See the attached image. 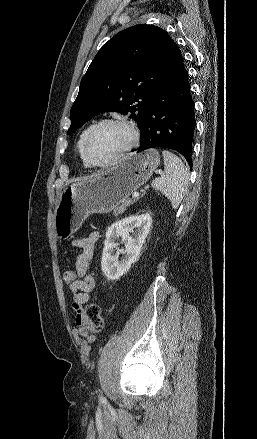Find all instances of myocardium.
I'll return each mask as SVG.
<instances>
[{
    "label": "myocardium",
    "instance_id": "obj_1",
    "mask_svg": "<svg viewBox=\"0 0 257 439\" xmlns=\"http://www.w3.org/2000/svg\"><path fill=\"white\" fill-rule=\"evenodd\" d=\"M106 125H120L126 128L130 135L129 143L120 153H118L111 160L106 162H96L89 155V144L95 133ZM138 142H139V131L132 122L126 119H115V118L104 119L93 125L92 128L88 131L83 142L82 152L89 166L98 169H104L111 167L112 165L116 164L118 161L123 159L130 151H132L135 148Z\"/></svg>",
    "mask_w": 257,
    "mask_h": 439
}]
</instances>
